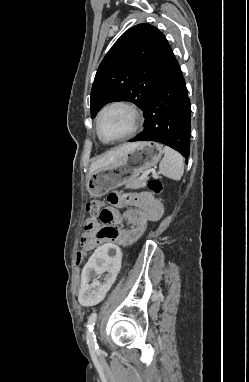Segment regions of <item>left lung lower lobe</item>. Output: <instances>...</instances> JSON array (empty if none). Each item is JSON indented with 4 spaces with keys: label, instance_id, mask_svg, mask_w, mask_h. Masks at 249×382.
<instances>
[{
    "label": "left lung lower lobe",
    "instance_id": "1",
    "mask_svg": "<svg viewBox=\"0 0 249 382\" xmlns=\"http://www.w3.org/2000/svg\"><path fill=\"white\" fill-rule=\"evenodd\" d=\"M190 115V99L185 81L174 58L144 113V130L130 141L160 142L177 150L188 159Z\"/></svg>",
    "mask_w": 249,
    "mask_h": 382
}]
</instances>
